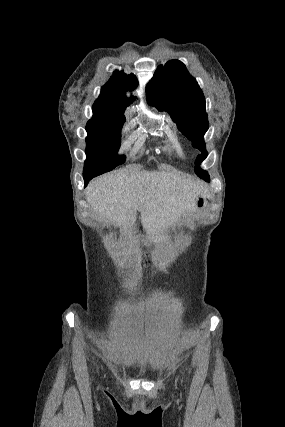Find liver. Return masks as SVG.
Wrapping results in <instances>:
<instances>
[{"label":"liver","mask_w":285,"mask_h":427,"mask_svg":"<svg viewBox=\"0 0 285 427\" xmlns=\"http://www.w3.org/2000/svg\"><path fill=\"white\" fill-rule=\"evenodd\" d=\"M206 194L200 181L164 170L109 173L86 189V199L101 219L128 229L139 210L144 229L153 235L195 212L197 197Z\"/></svg>","instance_id":"1"}]
</instances>
